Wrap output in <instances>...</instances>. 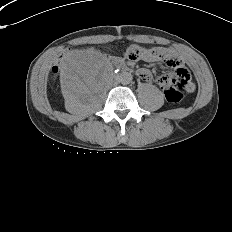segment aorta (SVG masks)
Segmentation results:
<instances>
[{"instance_id": "obj_1", "label": "aorta", "mask_w": 232, "mask_h": 232, "mask_svg": "<svg viewBox=\"0 0 232 232\" xmlns=\"http://www.w3.org/2000/svg\"><path fill=\"white\" fill-rule=\"evenodd\" d=\"M131 81V76L128 74V73H124L122 76H121V82L124 83V84H127Z\"/></svg>"}]
</instances>
